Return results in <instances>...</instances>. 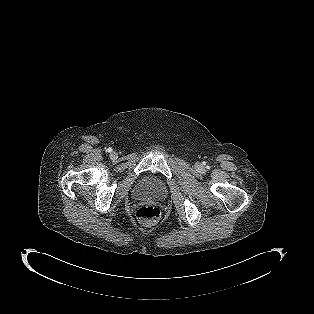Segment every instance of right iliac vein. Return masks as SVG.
I'll return each mask as SVG.
<instances>
[{"label":"right iliac vein","instance_id":"63e3f726","mask_svg":"<svg viewBox=\"0 0 314 314\" xmlns=\"http://www.w3.org/2000/svg\"><path fill=\"white\" fill-rule=\"evenodd\" d=\"M110 156H111L112 159H116V158H117V153L113 151V152L110 154Z\"/></svg>","mask_w":314,"mask_h":314}]
</instances>
